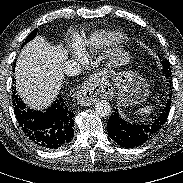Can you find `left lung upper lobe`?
I'll return each instance as SVG.
<instances>
[{
  "mask_svg": "<svg viewBox=\"0 0 183 183\" xmlns=\"http://www.w3.org/2000/svg\"><path fill=\"white\" fill-rule=\"evenodd\" d=\"M168 71H171L170 70V65H169V62L167 60H164L163 61V73H166Z\"/></svg>",
  "mask_w": 183,
  "mask_h": 183,
  "instance_id": "5c2ea615",
  "label": "left lung upper lobe"
}]
</instances>
